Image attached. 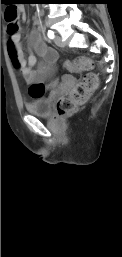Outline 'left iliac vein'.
Segmentation results:
<instances>
[{"label": "left iliac vein", "mask_w": 122, "mask_h": 257, "mask_svg": "<svg viewBox=\"0 0 122 257\" xmlns=\"http://www.w3.org/2000/svg\"><path fill=\"white\" fill-rule=\"evenodd\" d=\"M54 43L59 46V47H64L65 44L62 40V38L59 36V35H56L55 38H54Z\"/></svg>", "instance_id": "left-iliac-vein-1"}]
</instances>
